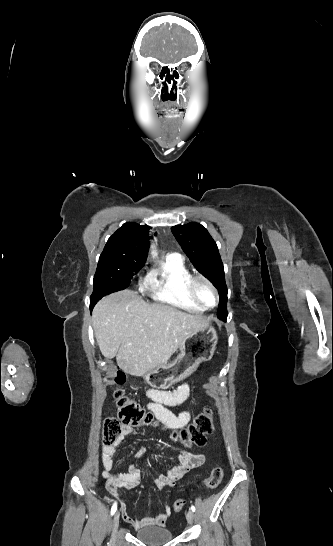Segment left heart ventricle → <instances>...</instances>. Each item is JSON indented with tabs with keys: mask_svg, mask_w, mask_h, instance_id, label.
<instances>
[{
	"mask_svg": "<svg viewBox=\"0 0 333 546\" xmlns=\"http://www.w3.org/2000/svg\"><path fill=\"white\" fill-rule=\"evenodd\" d=\"M195 291L198 297L207 305L211 306L215 303V294L213 290L203 282L195 284Z\"/></svg>",
	"mask_w": 333,
	"mask_h": 546,
	"instance_id": "b2bd125f",
	"label": "left heart ventricle"
}]
</instances>
